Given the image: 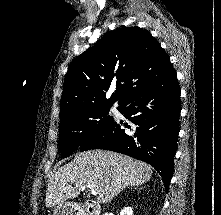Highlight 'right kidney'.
<instances>
[{
  "mask_svg": "<svg viewBox=\"0 0 221 215\" xmlns=\"http://www.w3.org/2000/svg\"><path fill=\"white\" fill-rule=\"evenodd\" d=\"M120 215H133V210L131 207H125L121 212Z\"/></svg>",
  "mask_w": 221,
  "mask_h": 215,
  "instance_id": "ca27d5eb",
  "label": "right kidney"
}]
</instances>
